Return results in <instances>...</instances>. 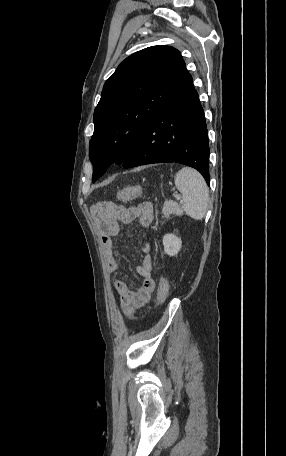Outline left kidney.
<instances>
[{
    "instance_id": "1",
    "label": "left kidney",
    "mask_w": 286,
    "mask_h": 456,
    "mask_svg": "<svg viewBox=\"0 0 286 456\" xmlns=\"http://www.w3.org/2000/svg\"><path fill=\"white\" fill-rule=\"evenodd\" d=\"M164 251L169 256H175L180 251L182 241L174 234H166L163 237Z\"/></svg>"
}]
</instances>
